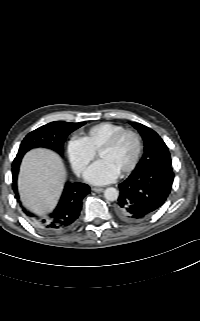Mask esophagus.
I'll return each mask as SVG.
<instances>
[{
	"instance_id": "34e87169",
	"label": "esophagus",
	"mask_w": 200,
	"mask_h": 321,
	"mask_svg": "<svg viewBox=\"0 0 200 321\" xmlns=\"http://www.w3.org/2000/svg\"><path fill=\"white\" fill-rule=\"evenodd\" d=\"M92 190H93L94 192L101 193V192H103L104 189L101 188V187H93Z\"/></svg>"
}]
</instances>
